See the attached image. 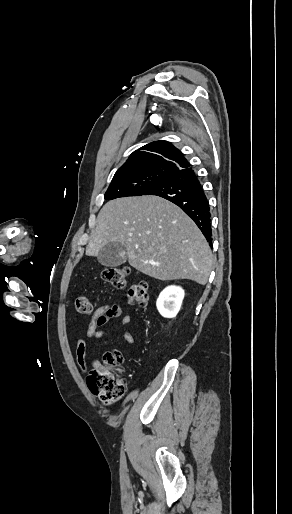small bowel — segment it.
<instances>
[{"instance_id": "1", "label": "small bowel", "mask_w": 292, "mask_h": 514, "mask_svg": "<svg viewBox=\"0 0 292 514\" xmlns=\"http://www.w3.org/2000/svg\"><path fill=\"white\" fill-rule=\"evenodd\" d=\"M112 320H117L118 324L125 326L131 323L132 318L130 315H123L122 307L117 303L103 304L97 307L93 312L86 336L89 339L98 340L103 329ZM121 336L123 340L130 345L135 344L137 341L135 335L127 330H123L121 332ZM75 352L79 369L81 372L87 373V345L85 340L77 339ZM92 365L95 366L97 371L102 369L101 362L99 360L93 361Z\"/></svg>"}]
</instances>
